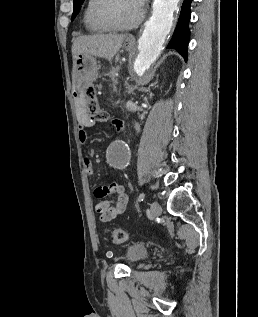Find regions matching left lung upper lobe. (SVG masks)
<instances>
[{
  "instance_id": "left-lung-upper-lobe-1",
  "label": "left lung upper lobe",
  "mask_w": 258,
  "mask_h": 317,
  "mask_svg": "<svg viewBox=\"0 0 258 317\" xmlns=\"http://www.w3.org/2000/svg\"><path fill=\"white\" fill-rule=\"evenodd\" d=\"M84 2V0H74V11L72 14V20L76 17V15L78 14L80 7L82 5V3Z\"/></svg>"
}]
</instances>
